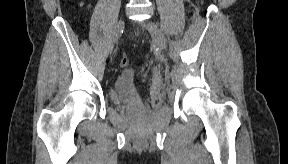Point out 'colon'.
I'll use <instances>...</instances> for the list:
<instances>
[{
	"instance_id": "colon-1",
	"label": "colon",
	"mask_w": 288,
	"mask_h": 164,
	"mask_svg": "<svg viewBox=\"0 0 288 164\" xmlns=\"http://www.w3.org/2000/svg\"><path fill=\"white\" fill-rule=\"evenodd\" d=\"M128 58H127V56L126 55H124L123 57H122V59H121V65L122 66H127L128 65Z\"/></svg>"
}]
</instances>
